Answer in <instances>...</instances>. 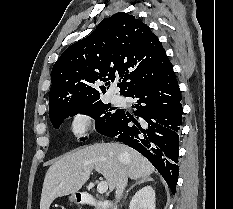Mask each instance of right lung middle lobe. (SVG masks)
Instances as JSON below:
<instances>
[{
    "label": "right lung middle lobe",
    "mask_w": 233,
    "mask_h": 209,
    "mask_svg": "<svg viewBox=\"0 0 233 209\" xmlns=\"http://www.w3.org/2000/svg\"><path fill=\"white\" fill-rule=\"evenodd\" d=\"M112 110L113 108H111L110 104H104L101 100H95L80 104L61 106L51 111L49 117L53 126L58 129L64 119L81 112L95 119L97 131L103 133L120 114V110L111 112Z\"/></svg>",
    "instance_id": "right-lung-middle-lobe-1"
}]
</instances>
